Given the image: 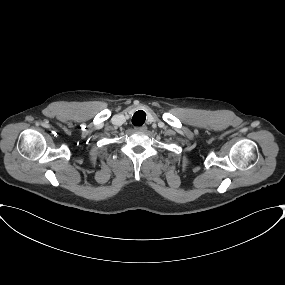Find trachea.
I'll return each mask as SVG.
<instances>
[{
	"label": "trachea",
	"mask_w": 285,
	"mask_h": 285,
	"mask_svg": "<svg viewBox=\"0 0 285 285\" xmlns=\"http://www.w3.org/2000/svg\"><path fill=\"white\" fill-rule=\"evenodd\" d=\"M146 119V113L143 110L137 111L132 117V124L135 126H142Z\"/></svg>",
	"instance_id": "obj_1"
}]
</instances>
